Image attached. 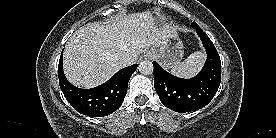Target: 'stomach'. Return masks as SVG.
<instances>
[{
  "instance_id": "obj_1",
  "label": "stomach",
  "mask_w": 276,
  "mask_h": 138,
  "mask_svg": "<svg viewBox=\"0 0 276 138\" xmlns=\"http://www.w3.org/2000/svg\"><path fill=\"white\" fill-rule=\"evenodd\" d=\"M154 57L159 60L161 65L166 68H173L183 57V43L176 34L171 36L164 45L158 49H152Z\"/></svg>"
}]
</instances>
